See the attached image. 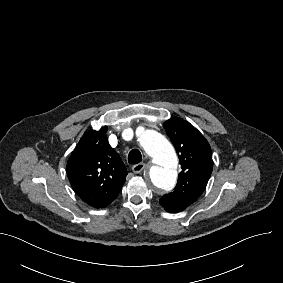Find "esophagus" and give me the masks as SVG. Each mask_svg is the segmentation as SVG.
I'll use <instances>...</instances> for the list:
<instances>
[{
  "instance_id": "34e87169",
  "label": "esophagus",
  "mask_w": 283,
  "mask_h": 283,
  "mask_svg": "<svg viewBox=\"0 0 283 283\" xmlns=\"http://www.w3.org/2000/svg\"><path fill=\"white\" fill-rule=\"evenodd\" d=\"M145 167H146L145 163H138V164H136L132 167V170H133L134 173L138 174L141 171H143L145 169Z\"/></svg>"
}]
</instances>
